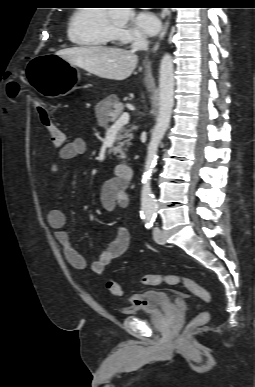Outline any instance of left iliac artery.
Segmentation results:
<instances>
[{
	"instance_id": "obj_1",
	"label": "left iliac artery",
	"mask_w": 255,
	"mask_h": 387,
	"mask_svg": "<svg viewBox=\"0 0 255 387\" xmlns=\"http://www.w3.org/2000/svg\"><path fill=\"white\" fill-rule=\"evenodd\" d=\"M154 218H147L145 221V227L150 229L153 226Z\"/></svg>"
}]
</instances>
